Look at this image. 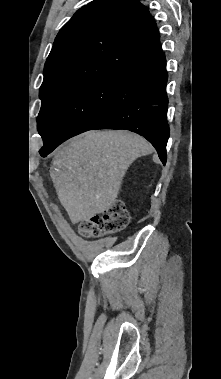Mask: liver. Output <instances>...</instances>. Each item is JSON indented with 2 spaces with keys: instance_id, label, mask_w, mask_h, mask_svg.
Returning a JSON list of instances; mask_svg holds the SVG:
<instances>
[{
  "instance_id": "1",
  "label": "liver",
  "mask_w": 221,
  "mask_h": 379,
  "mask_svg": "<svg viewBox=\"0 0 221 379\" xmlns=\"http://www.w3.org/2000/svg\"><path fill=\"white\" fill-rule=\"evenodd\" d=\"M153 152L143 137L129 131H89L53 153L50 176L73 224L111 207L126 170Z\"/></svg>"
}]
</instances>
